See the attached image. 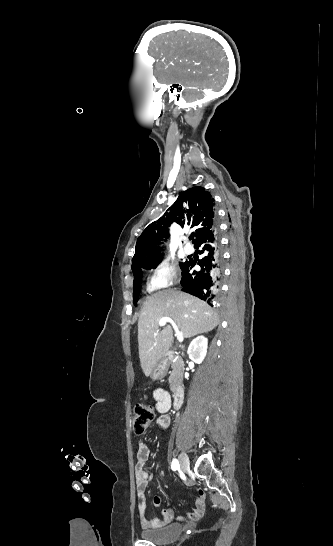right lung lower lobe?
Wrapping results in <instances>:
<instances>
[{"mask_svg": "<svg viewBox=\"0 0 333 546\" xmlns=\"http://www.w3.org/2000/svg\"><path fill=\"white\" fill-rule=\"evenodd\" d=\"M195 246L203 249L201 253L204 257L197 262L201 270L196 271V260L189 259L181 266L180 283L184 292L197 296L212 306L219 289L222 263L216 227L196 241Z\"/></svg>", "mask_w": 333, "mask_h": 546, "instance_id": "1", "label": "right lung lower lobe"}]
</instances>
